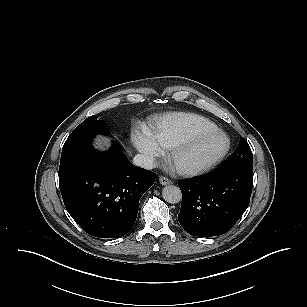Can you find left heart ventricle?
Listing matches in <instances>:
<instances>
[{"label": "left heart ventricle", "mask_w": 307, "mask_h": 307, "mask_svg": "<svg viewBox=\"0 0 307 307\" xmlns=\"http://www.w3.org/2000/svg\"><path fill=\"white\" fill-rule=\"evenodd\" d=\"M224 146V140L221 137H214L199 143L195 148L185 153L180 159V164H191L212 157Z\"/></svg>", "instance_id": "left-heart-ventricle-1"}]
</instances>
